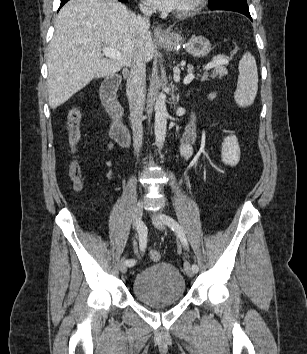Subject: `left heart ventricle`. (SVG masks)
<instances>
[{
	"label": "left heart ventricle",
	"instance_id": "1",
	"mask_svg": "<svg viewBox=\"0 0 307 354\" xmlns=\"http://www.w3.org/2000/svg\"><path fill=\"white\" fill-rule=\"evenodd\" d=\"M188 0H182L181 6L179 9L183 8L187 4Z\"/></svg>",
	"mask_w": 307,
	"mask_h": 354
}]
</instances>
